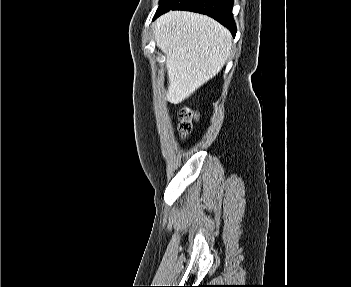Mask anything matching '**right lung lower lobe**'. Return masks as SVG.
I'll list each match as a JSON object with an SVG mask.
<instances>
[{"mask_svg":"<svg viewBox=\"0 0 351 287\" xmlns=\"http://www.w3.org/2000/svg\"><path fill=\"white\" fill-rule=\"evenodd\" d=\"M232 7L233 0H161L153 20L169 10H187L214 18L235 36Z\"/></svg>","mask_w":351,"mask_h":287,"instance_id":"1","label":"right lung lower lobe"}]
</instances>
